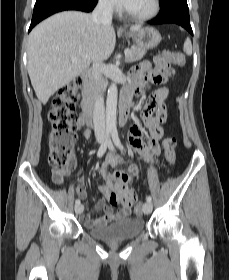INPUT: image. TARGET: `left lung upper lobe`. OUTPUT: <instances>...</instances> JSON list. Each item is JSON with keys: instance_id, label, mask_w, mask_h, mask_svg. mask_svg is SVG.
<instances>
[{"instance_id": "5c2ea615", "label": "left lung upper lobe", "mask_w": 229, "mask_h": 280, "mask_svg": "<svg viewBox=\"0 0 229 280\" xmlns=\"http://www.w3.org/2000/svg\"><path fill=\"white\" fill-rule=\"evenodd\" d=\"M168 0H161L162 4H164L165 2H167Z\"/></svg>"}]
</instances>
